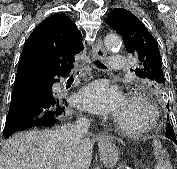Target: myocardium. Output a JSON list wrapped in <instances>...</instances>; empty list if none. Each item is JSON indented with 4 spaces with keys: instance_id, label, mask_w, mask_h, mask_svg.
Wrapping results in <instances>:
<instances>
[{
    "instance_id": "1",
    "label": "myocardium",
    "mask_w": 177,
    "mask_h": 169,
    "mask_svg": "<svg viewBox=\"0 0 177 169\" xmlns=\"http://www.w3.org/2000/svg\"><path fill=\"white\" fill-rule=\"evenodd\" d=\"M127 101L138 103L147 112V121L139 126H128L122 123L117 117L114 124L123 133L128 135H143L153 131L158 126L159 114L157 108L150 102L147 96L141 92H130L126 96Z\"/></svg>"
}]
</instances>
